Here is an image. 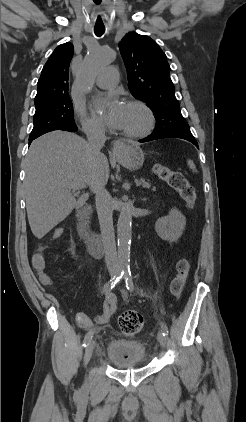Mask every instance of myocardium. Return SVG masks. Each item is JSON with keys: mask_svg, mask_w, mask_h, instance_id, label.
<instances>
[{"mask_svg": "<svg viewBox=\"0 0 246 422\" xmlns=\"http://www.w3.org/2000/svg\"><path fill=\"white\" fill-rule=\"evenodd\" d=\"M127 105L140 108L145 115L146 122L144 126L139 130H136V131L122 130L121 131L122 135L128 138H135V139L142 138L149 135L153 131L155 127V121H156L154 112L151 109V107L146 102L140 99H130L127 101Z\"/></svg>", "mask_w": 246, "mask_h": 422, "instance_id": "myocardium-1", "label": "myocardium"}]
</instances>
